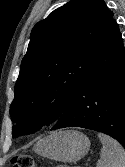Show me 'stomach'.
Instances as JSON below:
<instances>
[{
    "label": "stomach",
    "instance_id": "stomach-1",
    "mask_svg": "<svg viewBox=\"0 0 125 167\" xmlns=\"http://www.w3.org/2000/svg\"><path fill=\"white\" fill-rule=\"evenodd\" d=\"M33 149L52 160L77 162L88 153L90 140L79 131L60 130L39 139Z\"/></svg>",
    "mask_w": 125,
    "mask_h": 167
}]
</instances>
